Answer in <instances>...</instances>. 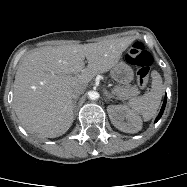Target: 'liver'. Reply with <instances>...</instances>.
Wrapping results in <instances>:
<instances>
[{"label": "liver", "mask_w": 187, "mask_h": 187, "mask_svg": "<svg viewBox=\"0 0 187 187\" xmlns=\"http://www.w3.org/2000/svg\"><path fill=\"white\" fill-rule=\"evenodd\" d=\"M132 41L118 38L28 52L14 81L13 104L22 125L44 137L63 135L73 123L71 91L111 70Z\"/></svg>", "instance_id": "liver-1"}]
</instances>
